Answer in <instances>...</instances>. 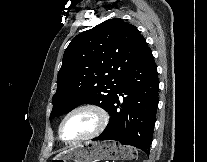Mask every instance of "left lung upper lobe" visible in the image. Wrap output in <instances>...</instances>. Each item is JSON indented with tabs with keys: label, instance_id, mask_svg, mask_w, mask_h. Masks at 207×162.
<instances>
[{
	"label": "left lung upper lobe",
	"instance_id": "left-lung-upper-lobe-1",
	"mask_svg": "<svg viewBox=\"0 0 207 162\" xmlns=\"http://www.w3.org/2000/svg\"><path fill=\"white\" fill-rule=\"evenodd\" d=\"M149 50L138 29L120 18L77 35L63 56L50 119L83 103L108 111L123 79Z\"/></svg>",
	"mask_w": 207,
	"mask_h": 162
}]
</instances>
